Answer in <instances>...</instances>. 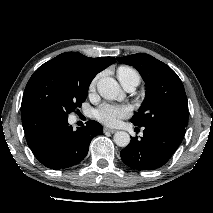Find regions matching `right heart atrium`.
<instances>
[{
    "mask_svg": "<svg viewBox=\"0 0 213 213\" xmlns=\"http://www.w3.org/2000/svg\"><path fill=\"white\" fill-rule=\"evenodd\" d=\"M96 84V79H94L90 84V90H93Z\"/></svg>",
    "mask_w": 213,
    "mask_h": 213,
    "instance_id": "right-heart-atrium-1",
    "label": "right heart atrium"
}]
</instances>
